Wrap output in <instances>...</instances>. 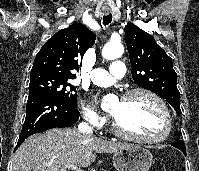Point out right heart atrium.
<instances>
[{
	"label": "right heart atrium",
	"instance_id": "obj_1",
	"mask_svg": "<svg viewBox=\"0 0 199 171\" xmlns=\"http://www.w3.org/2000/svg\"><path fill=\"white\" fill-rule=\"evenodd\" d=\"M80 110L85 122L95 129L102 128L107 120L105 117L101 116L91 105L81 102Z\"/></svg>",
	"mask_w": 199,
	"mask_h": 171
}]
</instances>
